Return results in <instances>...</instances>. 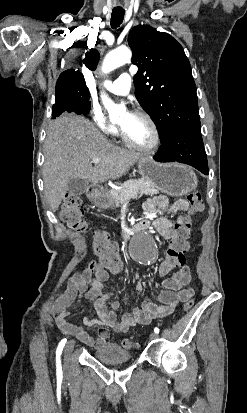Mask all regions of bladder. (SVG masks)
<instances>
[{"label":"bladder","instance_id":"1","mask_svg":"<svg viewBox=\"0 0 247 413\" xmlns=\"http://www.w3.org/2000/svg\"><path fill=\"white\" fill-rule=\"evenodd\" d=\"M94 358L102 362H128L132 360L133 355L125 352L120 344L107 342L102 349L94 352Z\"/></svg>","mask_w":247,"mask_h":413}]
</instances>
